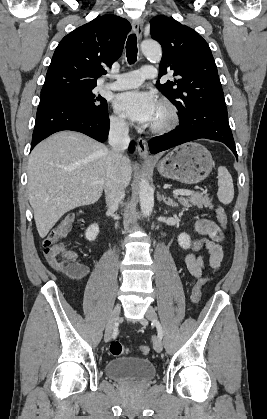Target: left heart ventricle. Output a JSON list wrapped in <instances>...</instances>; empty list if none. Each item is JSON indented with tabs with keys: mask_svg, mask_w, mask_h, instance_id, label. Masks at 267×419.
Returning a JSON list of instances; mask_svg holds the SVG:
<instances>
[{
	"mask_svg": "<svg viewBox=\"0 0 267 419\" xmlns=\"http://www.w3.org/2000/svg\"><path fill=\"white\" fill-rule=\"evenodd\" d=\"M167 119V112L161 106L158 105L157 111L155 113L154 119L151 125H157L164 122Z\"/></svg>",
	"mask_w": 267,
	"mask_h": 419,
	"instance_id": "1",
	"label": "left heart ventricle"
}]
</instances>
